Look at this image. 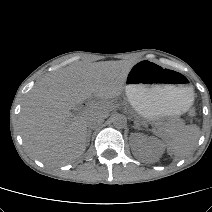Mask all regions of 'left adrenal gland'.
I'll list each match as a JSON object with an SVG mask.
<instances>
[{"instance_id": "left-adrenal-gland-1", "label": "left adrenal gland", "mask_w": 212, "mask_h": 212, "mask_svg": "<svg viewBox=\"0 0 212 212\" xmlns=\"http://www.w3.org/2000/svg\"><path fill=\"white\" fill-rule=\"evenodd\" d=\"M134 128H135V129H139V126H138L137 123L135 124Z\"/></svg>"}]
</instances>
